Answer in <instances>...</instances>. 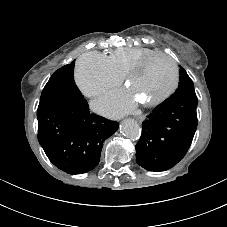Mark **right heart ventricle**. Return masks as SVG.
Segmentation results:
<instances>
[{
  "mask_svg": "<svg viewBox=\"0 0 227 227\" xmlns=\"http://www.w3.org/2000/svg\"><path fill=\"white\" fill-rule=\"evenodd\" d=\"M156 52L144 47H119L109 52L108 59L113 70L121 77L125 76L128 69L140 59Z\"/></svg>",
  "mask_w": 227,
  "mask_h": 227,
  "instance_id": "obj_1",
  "label": "right heart ventricle"
}]
</instances>
